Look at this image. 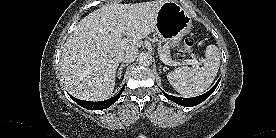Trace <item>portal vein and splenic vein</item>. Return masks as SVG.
I'll return each instance as SVG.
<instances>
[{"label": "portal vein and splenic vein", "instance_id": "portal-vein-and-splenic-vein-1", "mask_svg": "<svg viewBox=\"0 0 276 138\" xmlns=\"http://www.w3.org/2000/svg\"><path fill=\"white\" fill-rule=\"evenodd\" d=\"M123 31V29H118L116 32L117 34H121ZM159 57L161 59V61L166 64V65H170V66H177V65H185V64H189V65H192L194 67H199L200 63L198 62V60L196 59H187V60H184L182 61L181 63L179 62H175L173 60H169L168 58H166L163 54L159 53Z\"/></svg>", "mask_w": 276, "mask_h": 138}]
</instances>
